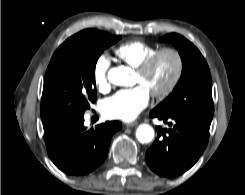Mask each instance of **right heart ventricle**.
I'll return each mask as SVG.
<instances>
[{
	"label": "right heart ventricle",
	"instance_id": "1",
	"mask_svg": "<svg viewBox=\"0 0 245 195\" xmlns=\"http://www.w3.org/2000/svg\"><path fill=\"white\" fill-rule=\"evenodd\" d=\"M156 46L140 40L129 41L118 46L115 55L130 67L137 68L146 58L156 52Z\"/></svg>",
	"mask_w": 245,
	"mask_h": 195
}]
</instances>
